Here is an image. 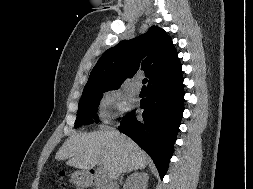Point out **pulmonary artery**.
Returning <instances> with one entry per match:
<instances>
[{"label":"pulmonary artery","mask_w":253,"mask_h":189,"mask_svg":"<svg viewBox=\"0 0 253 189\" xmlns=\"http://www.w3.org/2000/svg\"><path fill=\"white\" fill-rule=\"evenodd\" d=\"M133 91L135 94H139L141 91V82L140 81H136L133 85Z\"/></svg>","instance_id":"pulmonary-artery-1"}]
</instances>
